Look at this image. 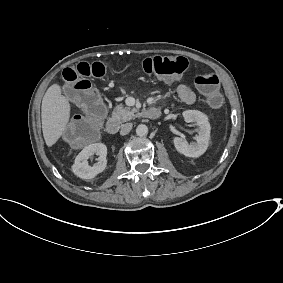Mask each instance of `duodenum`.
I'll use <instances>...</instances> for the list:
<instances>
[{
  "instance_id": "1",
  "label": "duodenum",
  "mask_w": 283,
  "mask_h": 283,
  "mask_svg": "<svg viewBox=\"0 0 283 283\" xmlns=\"http://www.w3.org/2000/svg\"><path fill=\"white\" fill-rule=\"evenodd\" d=\"M144 116L148 119H157L161 116V109L158 107L150 108L146 110ZM119 129V124L114 119H109L106 123V131L110 135H114L117 133Z\"/></svg>"
}]
</instances>
